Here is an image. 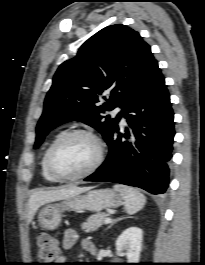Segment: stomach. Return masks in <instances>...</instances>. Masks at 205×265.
Instances as JSON below:
<instances>
[{
    "mask_svg": "<svg viewBox=\"0 0 205 265\" xmlns=\"http://www.w3.org/2000/svg\"><path fill=\"white\" fill-rule=\"evenodd\" d=\"M122 196L115 190L97 189L85 194L75 195L60 203L47 204L39 213L38 221L42 228L55 230L61 223L62 213L66 210L82 212H101L106 208H115L122 204Z\"/></svg>",
    "mask_w": 205,
    "mask_h": 265,
    "instance_id": "obj_1",
    "label": "stomach"
}]
</instances>
